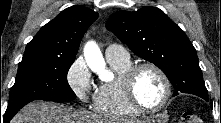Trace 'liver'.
<instances>
[{"label":"liver","instance_id":"liver-1","mask_svg":"<svg viewBox=\"0 0 221 123\" xmlns=\"http://www.w3.org/2000/svg\"><path fill=\"white\" fill-rule=\"evenodd\" d=\"M114 121V120H113ZM104 120L83 111L53 102H32L11 120V123H103ZM133 123H141L136 121Z\"/></svg>","mask_w":221,"mask_h":123}]
</instances>
